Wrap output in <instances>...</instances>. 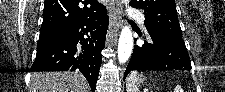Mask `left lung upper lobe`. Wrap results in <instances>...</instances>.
<instances>
[{
	"instance_id": "1",
	"label": "left lung upper lobe",
	"mask_w": 225,
	"mask_h": 92,
	"mask_svg": "<svg viewBox=\"0 0 225 92\" xmlns=\"http://www.w3.org/2000/svg\"><path fill=\"white\" fill-rule=\"evenodd\" d=\"M129 4L144 10L147 29L167 30L182 37L174 0H131Z\"/></svg>"
}]
</instances>
